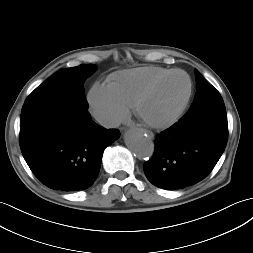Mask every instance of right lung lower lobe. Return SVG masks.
<instances>
[{
  "label": "right lung lower lobe",
  "instance_id": "obj_1",
  "mask_svg": "<svg viewBox=\"0 0 253 253\" xmlns=\"http://www.w3.org/2000/svg\"><path fill=\"white\" fill-rule=\"evenodd\" d=\"M79 103L65 102L20 119V148L34 175L54 190H85L120 132L97 125Z\"/></svg>",
  "mask_w": 253,
  "mask_h": 253
}]
</instances>
